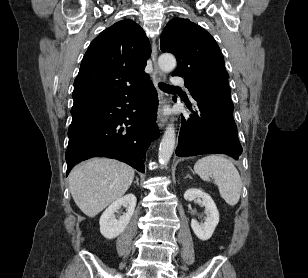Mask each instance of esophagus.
I'll use <instances>...</instances> for the list:
<instances>
[{"instance_id":"obj_1","label":"esophagus","mask_w":308,"mask_h":278,"mask_svg":"<svg viewBox=\"0 0 308 278\" xmlns=\"http://www.w3.org/2000/svg\"><path fill=\"white\" fill-rule=\"evenodd\" d=\"M157 46L155 41H153L152 46V53H151V60L153 64V83L158 92V100H159V108H158V115H157V125L160 128H163L167 123V116L162 112V108L165 105L166 99L164 96V92L160 90L159 83L163 82L165 77L163 73L160 71L158 64H157Z\"/></svg>"}]
</instances>
